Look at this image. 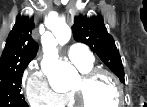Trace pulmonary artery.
I'll list each match as a JSON object with an SVG mask.
<instances>
[{
  "instance_id": "1",
  "label": "pulmonary artery",
  "mask_w": 147,
  "mask_h": 107,
  "mask_svg": "<svg viewBox=\"0 0 147 107\" xmlns=\"http://www.w3.org/2000/svg\"><path fill=\"white\" fill-rule=\"evenodd\" d=\"M68 57L76 66H87L93 63V57L82 44H73L68 49Z\"/></svg>"
}]
</instances>
